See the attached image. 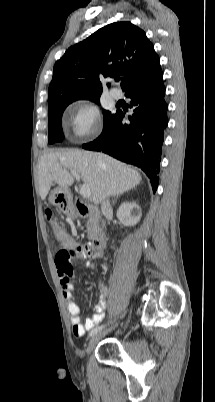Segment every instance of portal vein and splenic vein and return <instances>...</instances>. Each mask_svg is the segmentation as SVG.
I'll use <instances>...</instances> for the list:
<instances>
[{"instance_id":"18ae733b","label":"portal vein and splenic vein","mask_w":215,"mask_h":402,"mask_svg":"<svg viewBox=\"0 0 215 402\" xmlns=\"http://www.w3.org/2000/svg\"><path fill=\"white\" fill-rule=\"evenodd\" d=\"M70 173L76 178L77 181H80V176L74 170H70ZM80 194L83 198H90L91 190L90 187L86 184H83L80 188Z\"/></svg>"}]
</instances>
